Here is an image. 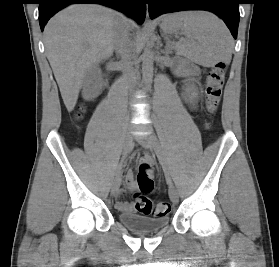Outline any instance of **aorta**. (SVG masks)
<instances>
[{
	"label": "aorta",
	"mask_w": 279,
	"mask_h": 267,
	"mask_svg": "<svg viewBox=\"0 0 279 267\" xmlns=\"http://www.w3.org/2000/svg\"><path fill=\"white\" fill-rule=\"evenodd\" d=\"M146 35L148 33L146 32ZM153 62L154 54L151 48H145L142 54V75L143 83L146 88H148L152 82L153 77Z\"/></svg>",
	"instance_id": "762f6f07"
}]
</instances>
